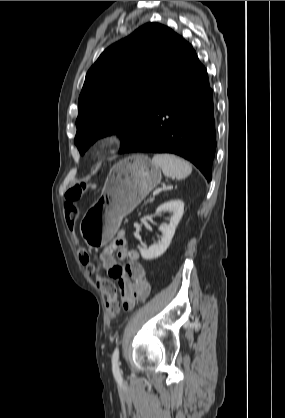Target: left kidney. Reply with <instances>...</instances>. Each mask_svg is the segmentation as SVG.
Returning a JSON list of instances; mask_svg holds the SVG:
<instances>
[{"label":"left kidney","mask_w":285,"mask_h":418,"mask_svg":"<svg viewBox=\"0 0 285 418\" xmlns=\"http://www.w3.org/2000/svg\"><path fill=\"white\" fill-rule=\"evenodd\" d=\"M163 211L172 213L169 224L161 225L159 230L162 232L161 240L151 245L149 248L138 246L142 258L151 260L161 256L169 247L171 240L175 234V229L183 216L184 203L181 200H171L163 203L156 209V215Z\"/></svg>","instance_id":"obj_1"}]
</instances>
